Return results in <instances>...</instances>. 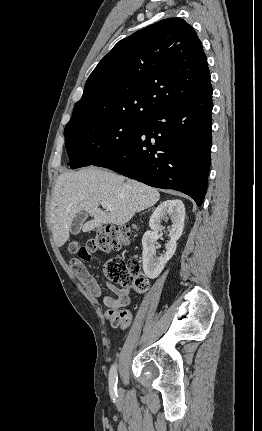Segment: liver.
I'll return each mask as SVG.
<instances>
[{
  "instance_id": "1",
  "label": "liver",
  "mask_w": 262,
  "mask_h": 431,
  "mask_svg": "<svg viewBox=\"0 0 262 431\" xmlns=\"http://www.w3.org/2000/svg\"><path fill=\"white\" fill-rule=\"evenodd\" d=\"M160 199L157 189L93 166L64 172L57 178L50 206V223L58 247L69 239L71 223L85 210L93 219L83 226L89 232L103 224L124 225ZM102 202L113 210L103 211Z\"/></svg>"
}]
</instances>
